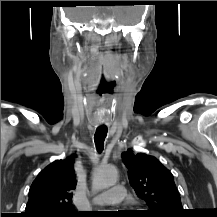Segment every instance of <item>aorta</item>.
<instances>
[{
  "mask_svg": "<svg viewBox=\"0 0 217 217\" xmlns=\"http://www.w3.org/2000/svg\"><path fill=\"white\" fill-rule=\"evenodd\" d=\"M117 182V170L114 166H102L95 170L92 179V189L101 191Z\"/></svg>",
  "mask_w": 217,
  "mask_h": 217,
  "instance_id": "aorta-1",
  "label": "aorta"
}]
</instances>
